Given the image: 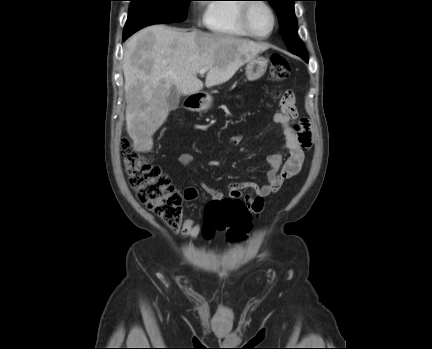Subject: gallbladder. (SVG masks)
I'll use <instances>...</instances> for the list:
<instances>
[{
    "instance_id": "bac80fb5",
    "label": "gallbladder",
    "mask_w": 432,
    "mask_h": 349,
    "mask_svg": "<svg viewBox=\"0 0 432 349\" xmlns=\"http://www.w3.org/2000/svg\"><path fill=\"white\" fill-rule=\"evenodd\" d=\"M179 93L172 88L169 96L167 97V104L169 106V110H175L179 105Z\"/></svg>"
}]
</instances>
